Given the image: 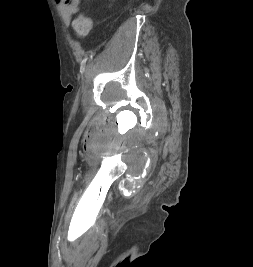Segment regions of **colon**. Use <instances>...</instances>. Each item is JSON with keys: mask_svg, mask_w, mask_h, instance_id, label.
<instances>
[{"mask_svg": "<svg viewBox=\"0 0 253 267\" xmlns=\"http://www.w3.org/2000/svg\"><path fill=\"white\" fill-rule=\"evenodd\" d=\"M72 27L77 35L87 36L92 28V20L88 15L80 14L72 21Z\"/></svg>", "mask_w": 253, "mask_h": 267, "instance_id": "5ec220e1", "label": "colon"}]
</instances>
